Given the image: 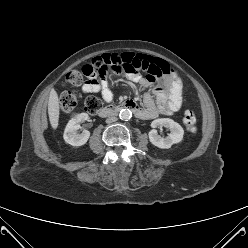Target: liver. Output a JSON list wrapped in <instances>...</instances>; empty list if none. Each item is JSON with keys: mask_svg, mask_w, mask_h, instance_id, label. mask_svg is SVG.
I'll list each match as a JSON object with an SVG mask.
<instances>
[{"mask_svg": "<svg viewBox=\"0 0 248 248\" xmlns=\"http://www.w3.org/2000/svg\"><path fill=\"white\" fill-rule=\"evenodd\" d=\"M59 114V99L56 91L53 89L50 92L48 101L49 121L53 129L58 127Z\"/></svg>", "mask_w": 248, "mask_h": 248, "instance_id": "obj_1", "label": "liver"}]
</instances>
